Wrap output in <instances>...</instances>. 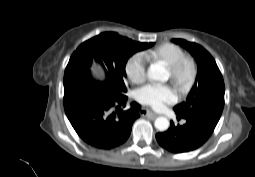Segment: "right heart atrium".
I'll return each mask as SVG.
<instances>
[{
    "label": "right heart atrium",
    "instance_id": "d8ad5b80",
    "mask_svg": "<svg viewBox=\"0 0 255 177\" xmlns=\"http://www.w3.org/2000/svg\"><path fill=\"white\" fill-rule=\"evenodd\" d=\"M147 57L142 53L132 55L125 64V72L129 80L139 84L146 78Z\"/></svg>",
    "mask_w": 255,
    "mask_h": 177
}]
</instances>
